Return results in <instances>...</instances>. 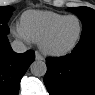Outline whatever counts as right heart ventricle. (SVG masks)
Here are the masks:
<instances>
[{
  "instance_id": "obj_1",
  "label": "right heart ventricle",
  "mask_w": 95,
  "mask_h": 95,
  "mask_svg": "<svg viewBox=\"0 0 95 95\" xmlns=\"http://www.w3.org/2000/svg\"><path fill=\"white\" fill-rule=\"evenodd\" d=\"M64 16L52 11L30 10L21 16L20 27L30 41L39 42L43 35Z\"/></svg>"
}]
</instances>
